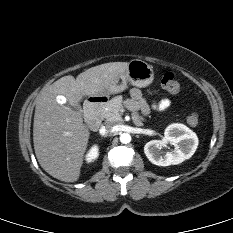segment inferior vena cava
<instances>
[{"instance_id": "1", "label": "inferior vena cava", "mask_w": 233, "mask_h": 233, "mask_svg": "<svg viewBox=\"0 0 233 233\" xmlns=\"http://www.w3.org/2000/svg\"><path fill=\"white\" fill-rule=\"evenodd\" d=\"M114 132H115V127L111 124H106L105 126H102L100 129L101 135L112 134Z\"/></svg>"}]
</instances>
